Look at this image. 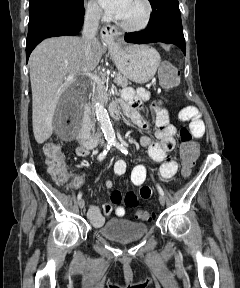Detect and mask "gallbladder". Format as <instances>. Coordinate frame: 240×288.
<instances>
[{"instance_id":"gallbladder-1","label":"gallbladder","mask_w":240,"mask_h":288,"mask_svg":"<svg viewBox=\"0 0 240 288\" xmlns=\"http://www.w3.org/2000/svg\"><path fill=\"white\" fill-rule=\"evenodd\" d=\"M80 110L71 88L60 97L54 114V122L65 120L68 116H75Z\"/></svg>"}]
</instances>
